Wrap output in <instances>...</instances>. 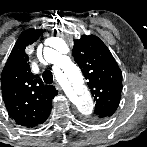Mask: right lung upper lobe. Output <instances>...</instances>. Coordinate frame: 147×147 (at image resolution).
<instances>
[{"mask_svg": "<svg viewBox=\"0 0 147 147\" xmlns=\"http://www.w3.org/2000/svg\"><path fill=\"white\" fill-rule=\"evenodd\" d=\"M42 30L24 31L15 43L1 74L2 96L9 115L25 127L45 122L52 99L58 94L54 86L43 84L31 73L25 48L34 43Z\"/></svg>", "mask_w": 147, "mask_h": 147, "instance_id": "1", "label": "right lung upper lobe"}]
</instances>
